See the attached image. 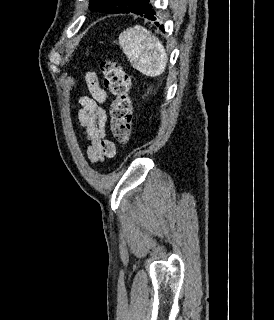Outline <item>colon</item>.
I'll return each mask as SVG.
<instances>
[{"label":"colon","mask_w":274,"mask_h":320,"mask_svg":"<svg viewBox=\"0 0 274 320\" xmlns=\"http://www.w3.org/2000/svg\"><path fill=\"white\" fill-rule=\"evenodd\" d=\"M102 73L104 83L113 96L110 107L112 134L120 143L128 144L133 130L129 74L121 64L110 60L102 63Z\"/></svg>","instance_id":"colon-1"}]
</instances>
